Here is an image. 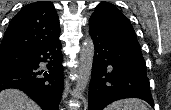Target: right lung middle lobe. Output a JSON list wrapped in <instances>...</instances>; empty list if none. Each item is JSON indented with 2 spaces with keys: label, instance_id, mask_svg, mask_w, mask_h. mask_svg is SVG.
I'll list each match as a JSON object with an SVG mask.
<instances>
[{
  "label": "right lung middle lobe",
  "instance_id": "right-lung-middle-lobe-1",
  "mask_svg": "<svg viewBox=\"0 0 171 110\" xmlns=\"http://www.w3.org/2000/svg\"><path fill=\"white\" fill-rule=\"evenodd\" d=\"M28 59V53H2L0 54V71L20 66L26 63Z\"/></svg>",
  "mask_w": 171,
  "mask_h": 110
}]
</instances>
